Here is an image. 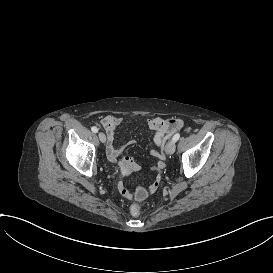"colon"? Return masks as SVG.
Returning a JSON list of instances; mask_svg holds the SVG:
<instances>
[{"label":"colon","instance_id":"5ec220e1","mask_svg":"<svg viewBox=\"0 0 273 273\" xmlns=\"http://www.w3.org/2000/svg\"><path fill=\"white\" fill-rule=\"evenodd\" d=\"M148 188L144 184H139L136 189V198L134 199V204L130 205L129 210L134 216H139L141 214L140 206L146 200V194Z\"/></svg>","mask_w":273,"mask_h":273}]
</instances>
